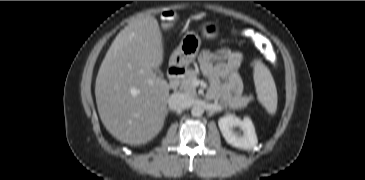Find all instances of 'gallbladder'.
<instances>
[{"label": "gallbladder", "instance_id": "gallbladder-1", "mask_svg": "<svg viewBox=\"0 0 365 180\" xmlns=\"http://www.w3.org/2000/svg\"><path fill=\"white\" fill-rule=\"evenodd\" d=\"M156 70V72L158 73V75L160 76V77H163V73L158 69V68H156L155 69Z\"/></svg>", "mask_w": 365, "mask_h": 180}]
</instances>
